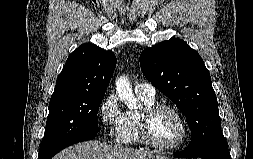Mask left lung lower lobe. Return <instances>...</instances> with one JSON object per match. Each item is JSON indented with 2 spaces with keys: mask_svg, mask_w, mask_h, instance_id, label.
<instances>
[{
  "mask_svg": "<svg viewBox=\"0 0 253 159\" xmlns=\"http://www.w3.org/2000/svg\"><path fill=\"white\" fill-rule=\"evenodd\" d=\"M178 158H202V159H231L228 146L224 136L214 140L210 149L200 154L196 148V144L189 143L186 149L175 154Z\"/></svg>",
  "mask_w": 253,
  "mask_h": 159,
  "instance_id": "left-lung-lower-lobe-1",
  "label": "left lung lower lobe"
}]
</instances>
